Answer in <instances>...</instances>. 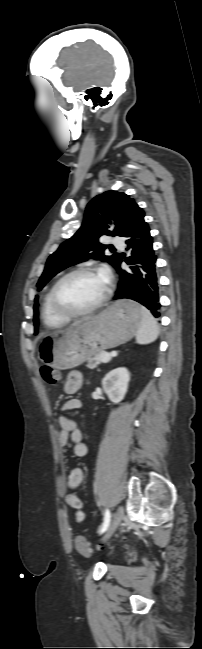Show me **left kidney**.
Wrapping results in <instances>:
<instances>
[{"label":"left kidney","instance_id":"5707ae66","mask_svg":"<svg viewBox=\"0 0 202 649\" xmlns=\"http://www.w3.org/2000/svg\"><path fill=\"white\" fill-rule=\"evenodd\" d=\"M129 381V371L126 368H117L103 378L102 387L112 402L119 403L127 393Z\"/></svg>","mask_w":202,"mask_h":649}]
</instances>
